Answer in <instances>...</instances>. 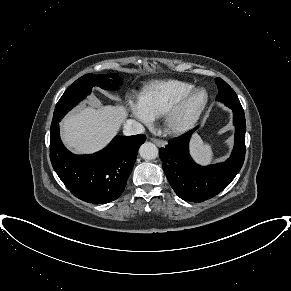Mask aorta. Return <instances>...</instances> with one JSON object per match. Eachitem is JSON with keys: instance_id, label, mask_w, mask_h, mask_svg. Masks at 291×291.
<instances>
[{"instance_id": "1", "label": "aorta", "mask_w": 291, "mask_h": 291, "mask_svg": "<svg viewBox=\"0 0 291 291\" xmlns=\"http://www.w3.org/2000/svg\"><path fill=\"white\" fill-rule=\"evenodd\" d=\"M139 154L145 160H153L158 157V148L151 142H145L141 145Z\"/></svg>"}]
</instances>
